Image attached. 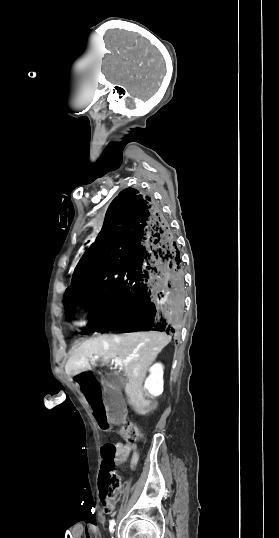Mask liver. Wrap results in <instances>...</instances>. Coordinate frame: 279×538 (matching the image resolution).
Instances as JSON below:
<instances>
[{
  "mask_svg": "<svg viewBox=\"0 0 279 538\" xmlns=\"http://www.w3.org/2000/svg\"><path fill=\"white\" fill-rule=\"evenodd\" d=\"M170 340L171 338L164 332H133L122 336L92 338L74 350L65 366L66 374L73 376L92 370L89 364V358L92 356H100L105 362L111 358H120L123 360L125 376L128 378L125 394L131 404L136 406L139 414H147L150 410L146 408H149L151 402L144 398L143 380L149 366Z\"/></svg>",
  "mask_w": 279,
  "mask_h": 538,
  "instance_id": "liver-1",
  "label": "liver"
}]
</instances>
